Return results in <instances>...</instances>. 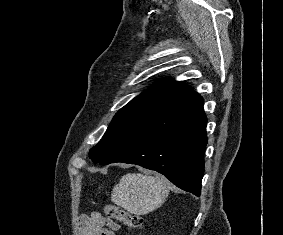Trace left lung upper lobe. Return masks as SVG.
<instances>
[{
  "mask_svg": "<svg viewBox=\"0 0 283 235\" xmlns=\"http://www.w3.org/2000/svg\"><path fill=\"white\" fill-rule=\"evenodd\" d=\"M193 93L190 86L171 80L161 82L133 98L113 117L90 158L102 164L108 156L157 115Z\"/></svg>",
  "mask_w": 283,
  "mask_h": 235,
  "instance_id": "5c2ea615",
  "label": "left lung upper lobe"
}]
</instances>
